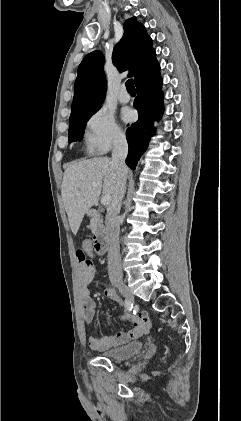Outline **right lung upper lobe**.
Wrapping results in <instances>:
<instances>
[{"label":"right lung upper lobe","instance_id":"cb5924a9","mask_svg":"<svg viewBox=\"0 0 241 421\" xmlns=\"http://www.w3.org/2000/svg\"><path fill=\"white\" fill-rule=\"evenodd\" d=\"M124 35L115 45L112 55L113 64L119 71L129 70L128 76L135 81L156 59L152 39L145 27L136 18L126 20ZM104 57L94 51L84 57L78 67L70 119L94 114L102 105V95L106 88L103 71Z\"/></svg>","mask_w":241,"mask_h":421}]
</instances>
